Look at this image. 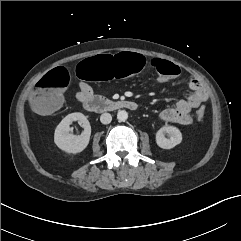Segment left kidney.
Listing matches in <instances>:
<instances>
[{
    "label": "left kidney",
    "mask_w": 241,
    "mask_h": 241,
    "mask_svg": "<svg viewBox=\"0 0 241 241\" xmlns=\"http://www.w3.org/2000/svg\"><path fill=\"white\" fill-rule=\"evenodd\" d=\"M169 138H166L165 135ZM182 141L180 130L174 126H163L156 133V143L160 148L171 149Z\"/></svg>",
    "instance_id": "obj_1"
}]
</instances>
